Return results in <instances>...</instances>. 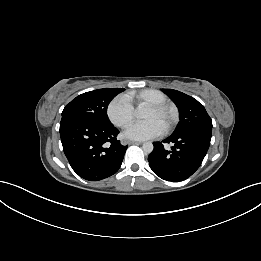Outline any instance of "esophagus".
<instances>
[{
	"label": "esophagus",
	"instance_id": "1",
	"mask_svg": "<svg viewBox=\"0 0 261 261\" xmlns=\"http://www.w3.org/2000/svg\"><path fill=\"white\" fill-rule=\"evenodd\" d=\"M128 144H130V145H133V144H142V142H140V141H134V140H129L128 141Z\"/></svg>",
	"mask_w": 261,
	"mask_h": 261
}]
</instances>
